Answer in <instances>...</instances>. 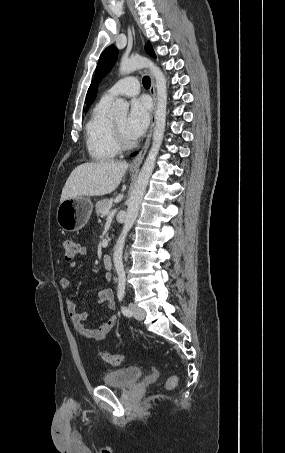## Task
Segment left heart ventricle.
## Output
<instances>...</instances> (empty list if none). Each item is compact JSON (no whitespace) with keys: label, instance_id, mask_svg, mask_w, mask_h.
I'll return each mask as SVG.
<instances>
[{"label":"left heart ventricle","instance_id":"1","mask_svg":"<svg viewBox=\"0 0 285 453\" xmlns=\"http://www.w3.org/2000/svg\"><path fill=\"white\" fill-rule=\"evenodd\" d=\"M126 120H127V117L125 115L121 116V117H118L116 118L114 121L115 123L118 125V127L121 129V131L123 132V134L129 138V139H132L129 137V135L127 134L126 132Z\"/></svg>","mask_w":285,"mask_h":453}]
</instances>
